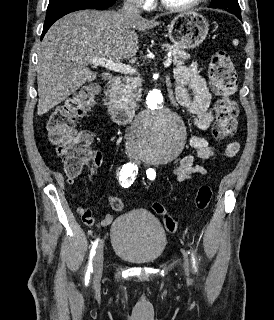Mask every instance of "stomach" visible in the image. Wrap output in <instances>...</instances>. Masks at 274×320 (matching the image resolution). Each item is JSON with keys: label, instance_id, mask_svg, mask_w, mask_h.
Segmentation results:
<instances>
[{"label": "stomach", "instance_id": "1", "mask_svg": "<svg viewBox=\"0 0 274 320\" xmlns=\"http://www.w3.org/2000/svg\"><path fill=\"white\" fill-rule=\"evenodd\" d=\"M209 24L206 18L197 12L177 14L168 26V36L176 48L194 50L204 42Z\"/></svg>", "mask_w": 274, "mask_h": 320}]
</instances>
